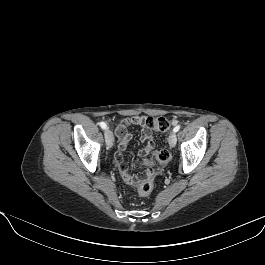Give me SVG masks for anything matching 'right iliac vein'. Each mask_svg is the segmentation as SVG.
<instances>
[{
    "mask_svg": "<svg viewBox=\"0 0 265 265\" xmlns=\"http://www.w3.org/2000/svg\"><path fill=\"white\" fill-rule=\"evenodd\" d=\"M104 135H105V141H106L107 148H111L114 142L112 131L107 128L104 132Z\"/></svg>",
    "mask_w": 265,
    "mask_h": 265,
    "instance_id": "right-iliac-vein-1",
    "label": "right iliac vein"
}]
</instances>
